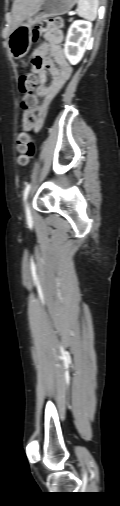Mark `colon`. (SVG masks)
<instances>
[{
    "instance_id": "obj_1",
    "label": "colon",
    "mask_w": 120,
    "mask_h": 506,
    "mask_svg": "<svg viewBox=\"0 0 120 506\" xmlns=\"http://www.w3.org/2000/svg\"><path fill=\"white\" fill-rule=\"evenodd\" d=\"M63 26V20L60 17H50L39 20L34 27V40L43 33L53 30H59ZM25 60L20 61V65L24 66ZM38 79L34 74L26 73L20 77V88L24 93L22 100V118L21 131L16 138L17 161L20 165H26L30 162L34 154V142L30 133V129L34 126L36 118L34 110L37 105V97L35 88Z\"/></svg>"
}]
</instances>
